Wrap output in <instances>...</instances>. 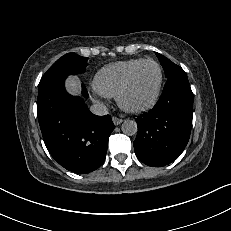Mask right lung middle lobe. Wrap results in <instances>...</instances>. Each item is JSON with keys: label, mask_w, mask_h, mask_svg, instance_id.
<instances>
[{"label": "right lung middle lobe", "mask_w": 231, "mask_h": 231, "mask_svg": "<svg viewBox=\"0 0 231 231\" xmlns=\"http://www.w3.org/2000/svg\"><path fill=\"white\" fill-rule=\"evenodd\" d=\"M87 57L79 56L75 53H68L59 58L44 74L39 87L57 77H66L71 74L85 72L87 66Z\"/></svg>", "instance_id": "right-lung-middle-lobe-1"}]
</instances>
